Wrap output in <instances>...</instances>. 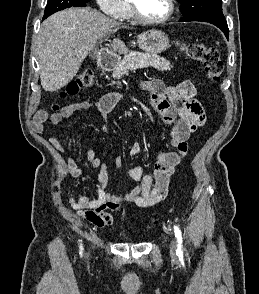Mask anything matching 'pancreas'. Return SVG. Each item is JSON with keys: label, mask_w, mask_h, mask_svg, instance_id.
Segmentation results:
<instances>
[{"label": "pancreas", "mask_w": 259, "mask_h": 294, "mask_svg": "<svg viewBox=\"0 0 259 294\" xmlns=\"http://www.w3.org/2000/svg\"><path fill=\"white\" fill-rule=\"evenodd\" d=\"M145 67H153L159 71H170L172 66L169 61L158 55L132 51L125 55L122 61L118 63L114 70L113 77L119 79L129 71Z\"/></svg>", "instance_id": "pancreas-1"}]
</instances>
